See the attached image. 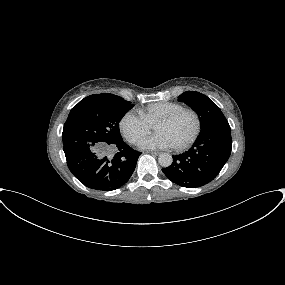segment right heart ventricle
<instances>
[{"label":"right heart ventricle","instance_id":"e07e8e85","mask_svg":"<svg viewBox=\"0 0 285 285\" xmlns=\"http://www.w3.org/2000/svg\"><path fill=\"white\" fill-rule=\"evenodd\" d=\"M183 108V105L177 102H157L150 104L144 109L139 110V114L153 126L161 117Z\"/></svg>","mask_w":285,"mask_h":285}]
</instances>
